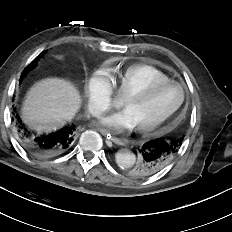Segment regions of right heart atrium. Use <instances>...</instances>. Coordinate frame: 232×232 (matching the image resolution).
<instances>
[{"label": "right heart atrium", "mask_w": 232, "mask_h": 232, "mask_svg": "<svg viewBox=\"0 0 232 232\" xmlns=\"http://www.w3.org/2000/svg\"><path fill=\"white\" fill-rule=\"evenodd\" d=\"M85 97L88 111L93 116H99L112 108L113 90L106 73L96 72L92 75L85 87Z\"/></svg>", "instance_id": "obj_1"}]
</instances>
